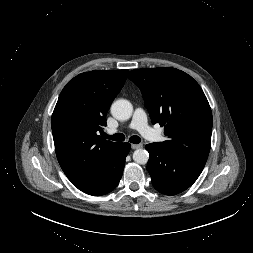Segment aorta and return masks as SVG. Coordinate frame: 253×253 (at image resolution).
<instances>
[{
  "instance_id": "1",
  "label": "aorta",
  "mask_w": 253,
  "mask_h": 253,
  "mask_svg": "<svg viewBox=\"0 0 253 253\" xmlns=\"http://www.w3.org/2000/svg\"><path fill=\"white\" fill-rule=\"evenodd\" d=\"M133 106L125 99L115 101L111 105V114L120 121L128 120L132 116ZM149 159V153L144 149H137L133 153V160L138 164H146Z\"/></svg>"
}]
</instances>
